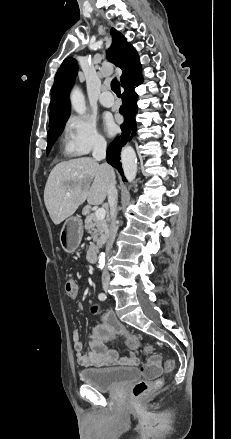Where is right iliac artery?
<instances>
[{"label":"right iliac artery","instance_id":"obj_1","mask_svg":"<svg viewBox=\"0 0 231 439\" xmlns=\"http://www.w3.org/2000/svg\"><path fill=\"white\" fill-rule=\"evenodd\" d=\"M98 298L99 300L104 301L106 299V295L104 293H100Z\"/></svg>","mask_w":231,"mask_h":439}]
</instances>
